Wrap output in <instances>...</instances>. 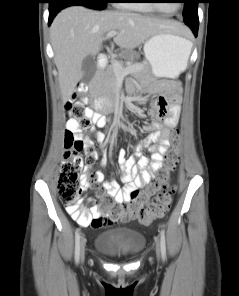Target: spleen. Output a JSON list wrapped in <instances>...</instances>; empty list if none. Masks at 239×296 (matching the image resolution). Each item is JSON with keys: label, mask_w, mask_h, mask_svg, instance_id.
<instances>
[{"label": "spleen", "mask_w": 239, "mask_h": 296, "mask_svg": "<svg viewBox=\"0 0 239 296\" xmlns=\"http://www.w3.org/2000/svg\"><path fill=\"white\" fill-rule=\"evenodd\" d=\"M191 48H192V45H191V46L189 47V49H188V57H189V55H190Z\"/></svg>", "instance_id": "1"}]
</instances>
